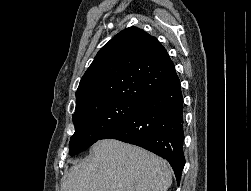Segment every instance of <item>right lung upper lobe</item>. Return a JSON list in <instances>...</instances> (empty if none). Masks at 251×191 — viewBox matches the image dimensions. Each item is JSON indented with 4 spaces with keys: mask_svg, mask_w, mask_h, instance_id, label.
Masks as SVG:
<instances>
[{
    "mask_svg": "<svg viewBox=\"0 0 251 191\" xmlns=\"http://www.w3.org/2000/svg\"><path fill=\"white\" fill-rule=\"evenodd\" d=\"M177 80L161 43L129 27L101 48L85 72L76 92V111L112 101L141 104Z\"/></svg>",
    "mask_w": 251,
    "mask_h": 191,
    "instance_id": "cb5924a9",
    "label": "right lung upper lobe"
}]
</instances>
